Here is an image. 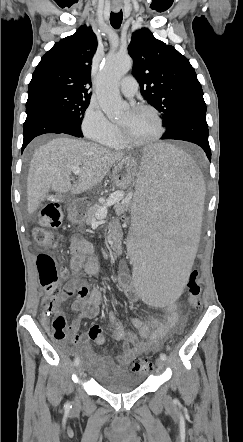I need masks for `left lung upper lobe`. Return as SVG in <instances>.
I'll use <instances>...</instances> for the list:
<instances>
[{
  "mask_svg": "<svg viewBox=\"0 0 243 442\" xmlns=\"http://www.w3.org/2000/svg\"><path fill=\"white\" fill-rule=\"evenodd\" d=\"M128 52L141 94L161 113L166 128L184 109L205 105L194 68L173 46L144 28L133 33Z\"/></svg>",
  "mask_w": 243,
  "mask_h": 442,
  "instance_id": "obj_1",
  "label": "left lung upper lobe"
}]
</instances>
